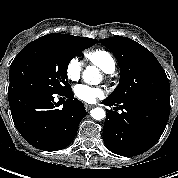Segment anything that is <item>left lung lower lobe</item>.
Wrapping results in <instances>:
<instances>
[{"instance_id": "1", "label": "left lung lower lobe", "mask_w": 178, "mask_h": 178, "mask_svg": "<svg viewBox=\"0 0 178 178\" xmlns=\"http://www.w3.org/2000/svg\"><path fill=\"white\" fill-rule=\"evenodd\" d=\"M103 103L123 110L121 114L107 110L103 127L107 148L121 156H136L149 150L161 137L169 119L170 109L144 100L116 103L106 98Z\"/></svg>"}]
</instances>
